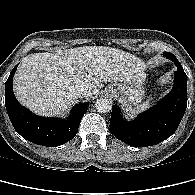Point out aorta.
<instances>
[{"instance_id": "aorta-1", "label": "aorta", "mask_w": 195, "mask_h": 195, "mask_svg": "<svg viewBox=\"0 0 195 195\" xmlns=\"http://www.w3.org/2000/svg\"><path fill=\"white\" fill-rule=\"evenodd\" d=\"M95 108L99 113H108L112 109V102L109 99L100 98L96 101Z\"/></svg>"}]
</instances>
